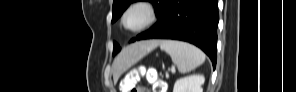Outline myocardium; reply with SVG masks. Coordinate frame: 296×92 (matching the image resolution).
Here are the masks:
<instances>
[{
    "instance_id": "1",
    "label": "myocardium",
    "mask_w": 296,
    "mask_h": 92,
    "mask_svg": "<svg viewBox=\"0 0 296 92\" xmlns=\"http://www.w3.org/2000/svg\"><path fill=\"white\" fill-rule=\"evenodd\" d=\"M134 9L144 10L146 13V20L140 26L135 27V28H130V27H128V25L126 23V19H127L128 14ZM156 19H157V12H156V9L154 8V6L149 2L138 1V2L132 3L124 11V13L122 15L121 22H122V25L125 30L135 33V32L144 31L145 29L149 28L151 25H153V23L156 21Z\"/></svg>"
}]
</instances>
